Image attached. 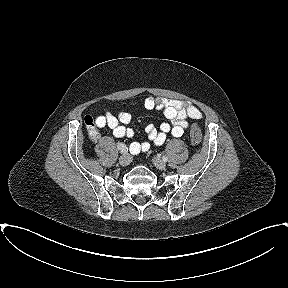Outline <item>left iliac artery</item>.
<instances>
[{
	"instance_id": "left-iliac-artery-1",
	"label": "left iliac artery",
	"mask_w": 288,
	"mask_h": 288,
	"mask_svg": "<svg viewBox=\"0 0 288 288\" xmlns=\"http://www.w3.org/2000/svg\"><path fill=\"white\" fill-rule=\"evenodd\" d=\"M162 159H163L164 162H166L168 160V157L163 156Z\"/></svg>"
}]
</instances>
